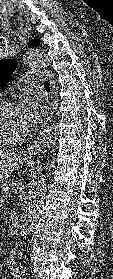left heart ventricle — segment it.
Returning <instances> with one entry per match:
<instances>
[{
	"instance_id": "b2bd125f",
	"label": "left heart ventricle",
	"mask_w": 113,
	"mask_h": 279,
	"mask_svg": "<svg viewBox=\"0 0 113 279\" xmlns=\"http://www.w3.org/2000/svg\"><path fill=\"white\" fill-rule=\"evenodd\" d=\"M0 133L5 136H20L27 133L21 106L0 109Z\"/></svg>"
}]
</instances>
